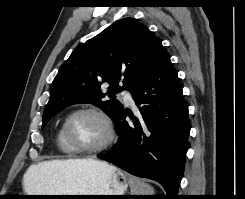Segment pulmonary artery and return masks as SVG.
<instances>
[{
  "label": "pulmonary artery",
  "instance_id": "e3ab8cb5",
  "mask_svg": "<svg viewBox=\"0 0 245 199\" xmlns=\"http://www.w3.org/2000/svg\"><path fill=\"white\" fill-rule=\"evenodd\" d=\"M121 94L129 105H132L134 103L132 94L129 91L124 90Z\"/></svg>",
  "mask_w": 245,
  "mask_h": 199
}]
</instances>
